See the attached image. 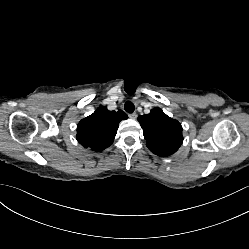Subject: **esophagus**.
Returning a JSON list of instances; mask_svg holds the SVG:
<instances>
[{"mask_svg":"<svg viewBox=\"0 0 249 249\" xmlns=\"http://www.w3.org/2000/svg\"><path fill=\"white\" fill-rule=\"evenodd\" d=\"M129 117L131 119H136L137 118V114L136 113L129 114Z\"/></svg>","mask_w":249,"mask_h":249,"instance_id":"esophagus-1","label":"esophagus"}]
</instances>
